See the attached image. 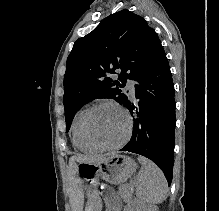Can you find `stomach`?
<instances>
[{"instance_id": "stomach-1", "label": "stomach", "mask_w": 219, "mask_h": 211, "mask_svg": "<svg viewBox=\"0 0 219 211\" xmlns=\"http://www.w3.org/2000/svg\"><path fill=\"white\" fill-rule=\"evenodd\" d=\"M136 168V162L132 158L120 154L106 156L99 162L79 163L77 174L90 193L85 211H95L100 203L99 198L92 194L100 178L111 184H120L133 175Z\"/></svg>"}]
</instances>
